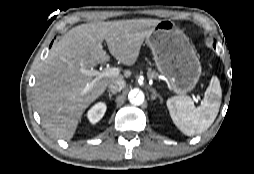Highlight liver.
<instances>
[{
    "label": "liver",
    "mask_w": 254,
    "mask_h": 174,
    "mask_svg": "<svg viewBox=\"0 0 254 174\" xmlns=\"http://www.w3.org/2000/svg\"><path fill=\"white\" fill-rule=\"evenodd\" d=\"M160 21L131 19L81 24L53 45L37 74L34 94L36 109L52 135L71 139L84 111L107 86L131 76V72L125 71L124 76L103 77L86 89L95 78L83 70L109 60L102 42L106 41L110 54L119 62L131 66L137 61L144 40Z\"/></svg>",
    "instance_id": "6515ba94"
}]
</instances>
